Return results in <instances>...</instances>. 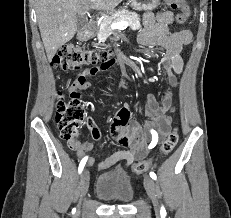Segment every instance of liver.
<instances>
[{"mask_svg":"<svg viewBox=\"0 0 231 218\" xmlns=\"http://www.w3.org/2000/svg\"><path fill=\"white\" fill-rule=\"evenodd\" d=\"M122 0H35L38 26L50 61L77 31V15L89 9L113 12Z\"/></svg>","mask_w":231,"mask_h":218,"instance_id":"6515ba94","label":"liver"}]
</instances>
